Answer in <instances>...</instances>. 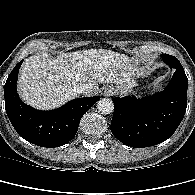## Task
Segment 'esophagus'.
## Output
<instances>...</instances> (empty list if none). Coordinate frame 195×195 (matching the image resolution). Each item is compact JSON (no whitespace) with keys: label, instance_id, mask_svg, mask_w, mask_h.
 <instances>
[{"label":"esophagus","instance_id":"esophagus-1","mask_svg":"<svg viewBox=\"0 0 195 195\" xmlns=\"http://www.w3.org/2000/svg\"><path fill=\"white\" fill-rule=\"evenodd\" d=\"M114 94V88H112L111 86H108L105 88L104 90V96H111Z\"/></svg>","mask_w":195,"mask_h":195}]
</instances>
